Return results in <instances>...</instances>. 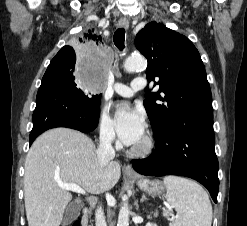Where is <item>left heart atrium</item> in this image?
<instances>
[{
	"mask_svg": "<svg viewBox=\"0 0 247 226\" xmlns=\"http://www.w3.org/2000/svg\"><path fill=\"white\" fill-rule=\"evenodd\" d=\"M115 126L120 140L133 146L143 138L146 124L138 109L127 102H120L115 107Z\"/></svg>",
	"mask_w": 247,
	"mask_h": 226,
	"instance_id": "1",
	"label": "left heart atrium"
}]
</instances>
